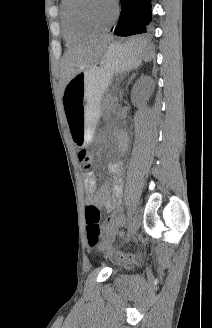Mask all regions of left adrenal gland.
<instances>
[{
	"label": "left adrenal gland",
	"instance_id": "1",
	"mask_svg": "<svg viewBox=\"0 0 212 328\" xmlns=\"http://www.w3.org/2000/svg\"><path fill=\"white\" fill-rule=\"evenodd\" d=\"M135 75H136L135 73H133V74L131 75V77H130V79H129V81H128V84L130 83V81L132 80V78L135 77Z\"/></svg>",
	"mask_w": 212,
	"mask_h": 328
}]
</instances>
